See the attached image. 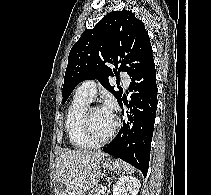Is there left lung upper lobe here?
<instances>
[{"instance_id": "obj_1", "label": "left lung upper lobe", "mask_w": 211, "mask_h": 195, "mask_svg": "<svg viewBox=\"0 0 211 195\" xmlns=\"http://www.w3.org/2000/svg\"><path fill=\"white\" fill-rule=\"evenodd\" d=\"M152 47L143 22L130 11L107 14L94 28L83 32L69 53L62 89L63 104L74 88L83 80L98 79L118 103L122 90L115 91L109 77L119 67L130 77L135 75L150 59Z\"/></svg>"}]
</instances>
